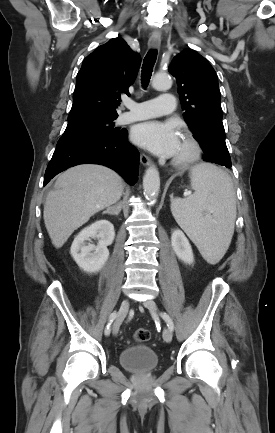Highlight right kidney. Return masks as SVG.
Wrapping results in <instances>:
<instances>
[{"instance_id": "right-kidney-1", "label": "right kidney", "mask_w": 275, "mask_h": 433, "mask_svg": "<svg viewBox=\"0 0 275 433\" xmlns=\"http://www.w3.org/2000/svg\"><path fill=\"white\" fill-rule=\"evenodd\" d=\"M98 238L97 246L86 243ZM115 238L114 226L108 220H99L84 228L74 239L70 253L78 266L85 272L96 273L101 270L109 257L108 246Z\"/></svg>"}]
</instances>
